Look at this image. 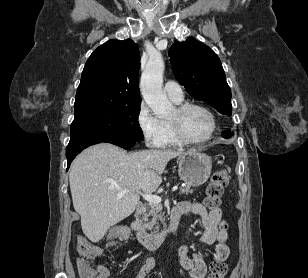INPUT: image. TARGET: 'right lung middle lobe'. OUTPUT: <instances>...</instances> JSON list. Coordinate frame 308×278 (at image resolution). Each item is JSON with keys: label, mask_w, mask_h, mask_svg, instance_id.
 Instances as JSON below:
<instances>
[{"label": "right lung middle lobe", "mask_w": 308, "mask_h": 278, "mask_svg": "<svg viewBox=\"0 0 308 278\" xmlns=\"http://www.w3.org/2000/svg\"><path fill=\"white\" fill-rule=\"evenodd\" d=\"M140 104L117 106L75 115L70 140L83 137H120L144 139L138 124Z\"/></svg>", "instance_id": "1"}]
</instances>
